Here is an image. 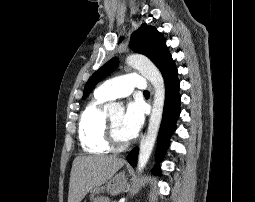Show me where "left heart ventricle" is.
Listing matches in <instances>:
<instances>
[{
  "instance_id": "1",
  "label": "left heart ventricle",
  "mask_w": 255,
  "mask_h": 202,
  "mask_svg": "<svg viewBox=\"0 0 255 202\" xmlns=\"http://www.w3.org/2000/svg\"><path fill=\"white\" fill-rule=\"evenodd\" d=\"M123 117H124V114L121 112V113H117L115 115H112L110 117V119H111V121L114 125L115 133H116L117 138L121 141H126V140L131 139V137L126 132V130L123 126Z\"/></svg>"
}]
</instances>
